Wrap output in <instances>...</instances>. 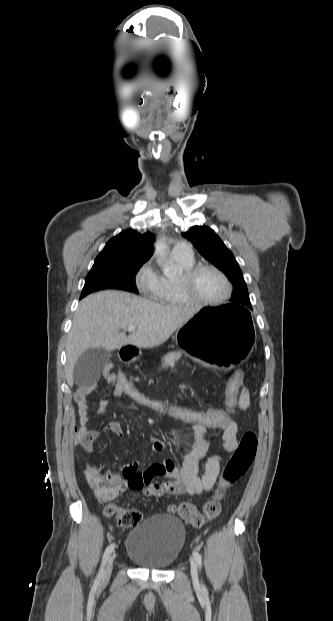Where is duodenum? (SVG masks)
<instances>
[{"label":"duodenum","instance_id":"1","mask_svg":"<svg viewBox=\"0 0 333 621\" xmlns=\"http://www.w3.org/2000/svg\"><path fill=\"white\" fill-rule=\"evenodd\" d=\"M120 355L124 361H131L136 356V351L133 348L124 347L122 348Z\"/></svg>","mask_w":333,"mask_h":621}]
</instances>
